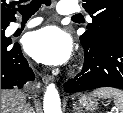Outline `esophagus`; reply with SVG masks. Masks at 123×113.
<instances>
[{"mask_svg": "<svg viewBox=\"0 0 123 113\" xmlns=\"http://www.w3.org/2000/svg\"><path fill=\"white\" fill-rule=\"evenodd\" d=\"M42 80H43V82H44L45 84H47V83H49V82H51V81H54V78H53L52 76H50V75H44V76L42 77Z\"/></svg>", "mask_w": 123, "mask_h": 113, "instance_id": "1", "label": "esophagus"}]
</instances>
